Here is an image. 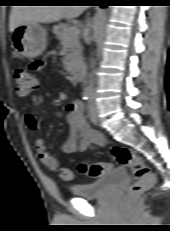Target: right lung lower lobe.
Returning a JSON list of instances; mask_svg holds the SVG:
<instances>
[{
	"label": "right lung lower lobe",
	"instance_id": "1",
	"mask_svg": "<svg viewBox=\"0 0 170 231\" xmlns=\"http://www.w3.org/2000/svg\"><path fill=\"white\" fill-rule=\"evenodd\" d=\"M101 7H106L105 5H101Z\"/></svg>",
	"mask_w": 170,
	"mask_h": 231
}]
</instances>
